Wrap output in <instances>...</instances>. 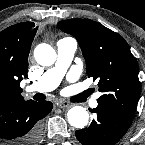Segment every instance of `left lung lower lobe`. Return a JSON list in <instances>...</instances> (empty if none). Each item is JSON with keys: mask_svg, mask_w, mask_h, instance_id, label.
I'll use <instances>...</instances> for the list:
<instances>
[{"mask_svg": "<svg viewBox=\"0 0 145 145\" xmlns=\"http://www.w3.org/2000/svg\"><path fill=\"white\" fill-rule=\"evenodd\" d=\"M91 112L95 113L97 118L87 128L75 132L83 145H114L132 122V117L100 105Z\"/></svg>", "mask_w": 145, "mask_h": 145, "instance_id": "left-lung-lower-lobe-1", "label": "left lung lower lobe"}]
</instances>
